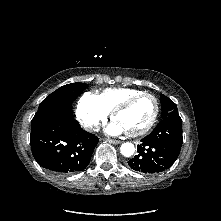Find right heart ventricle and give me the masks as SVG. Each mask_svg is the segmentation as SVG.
Listing matches in <instances>:
<instances>
[{
  "label": "right heart ventricle",
  "mask_w": 221,
  "mask_h": 221,
  "mask_svg": "<svg viewBox=\"0 0 221 221\" xmlns=\"http://www.w3.org/2000/svg\"><path fill=\"white\" fill-rule=\"evenodd\" d=\"M141 90L134 88H109L104 90L99 96L104 107L110 112L125 99L141 93Z\"/></svg>",
  "instance_id": "right-heart-ventricle-1"
}]
</instances>
